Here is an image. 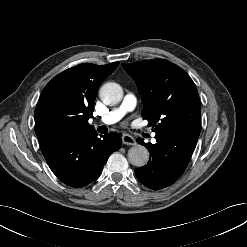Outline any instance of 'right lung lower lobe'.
<instances>
[{
  "mask_svg": "<svg viewBox=\"0 0 247 247\" xmlns=\"http://www.w3.org/2000/svg\"><path fill=\"white\" fill-rule=\"evenodd\" d=\"M122 145L121 134L98 137L96 131L56 130L41 147L52 172L65 184L80 188L94 181L109 156Z\"/></svg>",
  "mask_w": 247,
  "mask_h": 247,
  "instance_id": "98d812e1",
  "label": "right lung lower lobe"
}]
</instances>
